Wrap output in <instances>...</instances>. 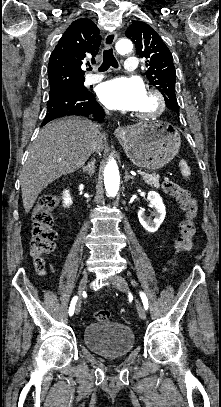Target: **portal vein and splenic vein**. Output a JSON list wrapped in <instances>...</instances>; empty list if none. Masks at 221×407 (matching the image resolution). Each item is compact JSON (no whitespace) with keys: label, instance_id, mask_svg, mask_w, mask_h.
<instances>
[{"label":"portal vein and splenic vein","instance_id":"1","mask_svg":"<svg viewBox=\"0 0 221 407\" xmlns=\"http://www.w3.org/2000/svg\"><path fill=\"white\" fill-rule=\"evenodd\" d=\"M138 174H139V175H144V174H145V172H138Z\"/></svg>","mask_w":221,"mask_h":407}]
</instances>
